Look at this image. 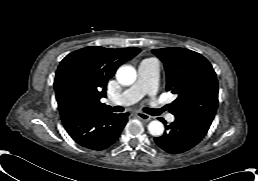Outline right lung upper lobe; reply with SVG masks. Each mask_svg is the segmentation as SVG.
<instances>
[{
    "mask_svg": "<svg viewBox=\"0 0 258 181\" xmlns=\"http://www.w3.org/2000/svg\"><path fill=\"white\" fill-rule=\"evenodd\" d=\"M139 48L89 46L67 55L60 63L54 88L61 117L81 109L110 110L100 102L117 68L137 55Z\"/></svg>",
    "mask_w": 258,
    "mask_h": 181,
    "instance_id": "right-lung-upper-lobe-1",
    "label": "right lung upper lobe"
}]
</instances>
